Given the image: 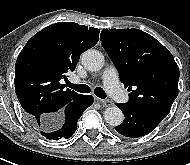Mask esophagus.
Segmentation results:
<instances>
[{
    "label": "esophagus",
    "instance_id": "34e87169",
    "mask_svg": "<svg viewBox=\"0 0 190 165\" xmlns=\"http://www.w3.org/2000/svg\"><path fill=\"white\" fill-rule=\"evenodd\" d=\"M104 107H109L112 105V101L109 99H97Z\"/></svg>",
    "mask_w": 190,
    "mask_h": 165
}]
</instances>
